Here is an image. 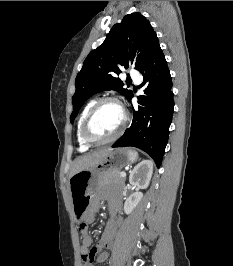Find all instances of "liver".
<instances>
[{
	"label": "liver",
	"mask_w": 233,
	"mask_h": 266,
	"mask_svg": "<svg viewBox=\"0 0 233 266\" xmlns=\"http://www.w3.org/2000/svg\"><path fill=\"white\" fill-rule=\"evenodd\" d=\"M111 150V148L102 149L77 157L72 164L69 178L84 169L97 165Z\"/></svg>",
	"instance_id": "6515ba94"
}]
</instances>
